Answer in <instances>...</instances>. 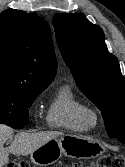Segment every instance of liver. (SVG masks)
<instances>
[{"instance_id": "6515ba94", "label": "liver", "mask_w": 125, "mask_h": 167, "mask_svg": "<svg viewBox=\"0 0 125 167\" xmlns=\"http://www.w3.org/2000/svg\"><path fill=\"white\" fill-rule=\"evenodd\" d=\"M13 133L12 128L0 124V167L8 163L10 153L23 156L29 155L46 142L62 135L58 131L20 132L15 135L10 146L5 148L4 143L13 136Z\"/></svg>"}]
</instances>
